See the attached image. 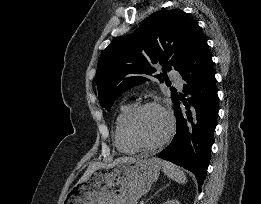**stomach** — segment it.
I'll return each instance as SVG.
<instances>
[{"label": "stomach", "instance_id": "0dacf381", "mask_svg": "<svg viewBox=\"0 0 261 204\" xmlns=\"http://www.w3.org/2000/svg\"><path fill=\"white\" fill-rule=\"evenodd\" d=\"M162 162L142 158L96 169L67 194L63 204H137L157 180Z\"/></svg>", "mask_w": 261, "mask_h": 204}]
</instances>
